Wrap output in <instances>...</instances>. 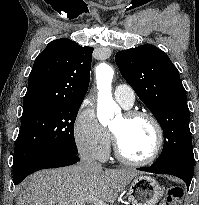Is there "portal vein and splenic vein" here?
<instances>
[{
  "label": "portal vein and splenic vein",
  "mask_w": 199,
  "mask_h": 205,
  "mask_svg": "<svg viewBox=\"0 0 199 205\" xmlns=\"http://www.w3.org/2000/svg\"><path fill=\"white\" fill-rule=\"evenodd\" d=\"M90 203H91L92 205H105L104 202H102L101 200H98V199H96V198H91V199H90Z\"/></svg>",
  "instance_id": "obj_1"
}]
</instances>
